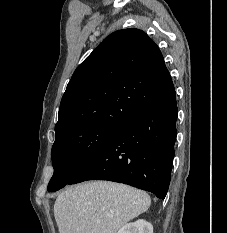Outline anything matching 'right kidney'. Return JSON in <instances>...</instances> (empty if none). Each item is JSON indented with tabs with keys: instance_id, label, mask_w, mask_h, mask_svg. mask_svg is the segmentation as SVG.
Listing matches in <instances>:
<instances>
[{
	"instance_id": "ca27d5eb",
	"label": "right kidney",
	"mask_w": 227,
	"mask_h": 233,
	"mask_svg": "<svg viewBox=\"0 0 227 233\" xmlns=\"http://www.w3.org/2000/svg\"><path fill=\"white\" fill-rule=\"evenodd\" d=\"M117 233H153V226L146 220H137L124 225Z\"/></svg>"
}]
</instances>
